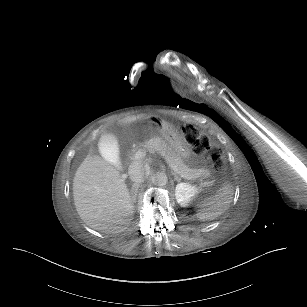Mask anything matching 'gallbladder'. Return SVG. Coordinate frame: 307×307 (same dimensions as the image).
Wrapping results in <instances>:
<instances>
[{"mask_svg": "<svg viewBox=\"0 0 307 307\" xmlns=\"http://www.w3.org/2000/svg\"><path fill=\"white\" fill-rule=\"evenodd\" d=\"M97 143L99 153L105 159V161L112 162L115 170H122V159L119 155L120 143L117 135L102 133L100 134Z\"/></svg>", "mask_w": 307, "mask_h": 307, "instance_id": "obj_1", "label": "gallbladder"}]
</instances>
